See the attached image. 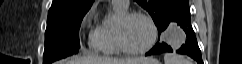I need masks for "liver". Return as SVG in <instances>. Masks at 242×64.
<instances>
[{
    "label": "liver",
    "instance_id": "1",
    "mask_svg": "<svg viewBox=\"0 0 242 64\" xmlns=\"http://www.w3.org/2000/svg\"><path fill=\"white\" fill-rule=\"evenodd\" d=\"M149 58L139 57L130 59H112L101 57H73L68 60L60 61L57 64H143L149 62Z\"/></svg>",
    "mask_w": 242,
    "mask_h": 64
}]
</instances>
